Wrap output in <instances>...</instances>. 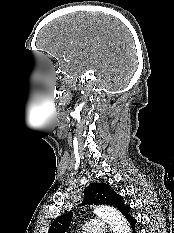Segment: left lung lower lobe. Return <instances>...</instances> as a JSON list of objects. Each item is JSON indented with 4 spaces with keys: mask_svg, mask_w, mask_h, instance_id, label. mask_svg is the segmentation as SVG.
<instances>
[{
    "mask_svg": "<svg viewBox=\"0 0 174 233\" xmlns=\"http://www.w3.org/2000/svg\"><path fill=\"white\" fill-rule=\"evenodd\" d=\"M130 210V209H129ZM125 217L129 224L131 225L133 233H137L135 229V225L137 223V220L129 213V211L126 212Z\"/></svg>",
    "mask_w": 174,
    "mask_h": 233,
    "instance_id": "obj_1",
    "label": "left lung lower lobe"
}]
</instances>
